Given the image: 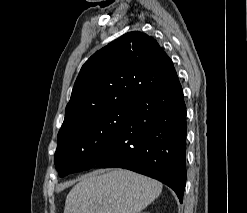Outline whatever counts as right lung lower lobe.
Instances as JSON below:
<instances>
[{"label":"right lung lower lobe","instance_id":"right-lung-lower-lobe-1","mask_svg":"<svg viewBox=\"0 0 247 213\" xmlns=\"http://www.w3.org/2000/svg\"><path fill=\"white\" fill-rule=\"evenodd\" d=\"M132 111L95 166L126 168L157 179L177 194L186 184V106L177 74L130 99Z\"/></svg>","mask_w":247,"mask_h":213}]
</instances>
